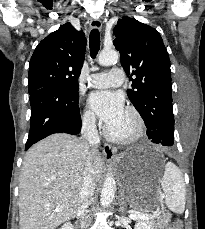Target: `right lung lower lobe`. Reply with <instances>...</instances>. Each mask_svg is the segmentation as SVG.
<instances>
[{"label":"right lung lower lobe","mask_w":205,"mask_h":229,"mask_svg":"<svg viewBox=\"0 0 205 229\" xmlns=\"http://www.w3.org/2000/svg\"><path fill=\"white\" fill-rule=\"evenodd\" d=\"M78 103V95L60 86L30 93V132L25 150L53 133L78 134L82 124Z\"/></svg>","instance_id":"1"}]
</instances>
